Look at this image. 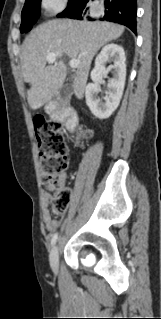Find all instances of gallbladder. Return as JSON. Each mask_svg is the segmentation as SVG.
<instances>
[{"instance_id": "bac80fb5", "label": "gallbladder", "mask_w": 161, "mask_h": 319, "mask_svg": "<svg viewBox=\"0 0 161 319\" xmlns=\"http://www.w3.org/2000/svg\"><path fill=\"white\" fill-rule=\"evenodd\" d=\"M72 86L71 85H64L59 92V100L61 103H63L65 100H67L70 95L72 94Z\"/></svg>"}]
</instances>
